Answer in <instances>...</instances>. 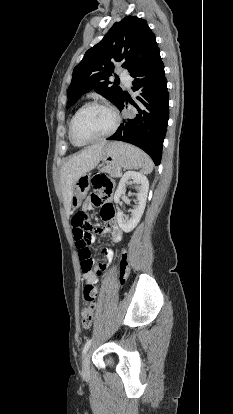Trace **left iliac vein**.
<instances>
[{"mask_svg": "<svg viewBox=\"0 0 233 414\" xmlns=\"http://www.w3.org/2000/svg\"><path fill=\"white\" fill-rule=\"evenodd\" d=\"M89 357H90L89 352L86 353L83 357V361H82V373H83V375H87L89 373Z\"/></svg>", "mask_w": 233, "mask_h": 414, "instance_id": "left-iliac-vein-1", "label": "left iliac vein"}]
</instances>
